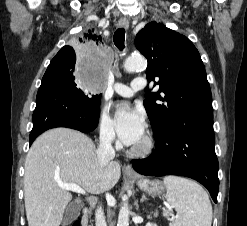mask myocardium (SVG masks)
I'll return each instance as SVG.
<instances>
[{
  "label": "myocardium",
  "instance_id": "obj_1",
  "mask_svg": "<svg viewBox=\"0 0 247 226\" xmlns=\"http://www.w3.org/2000/svg\"><path fill=\"white\" fill-rule=\"evenodd\" d=\"M156 141L151 132H147L144 138V142L139 147H131L129 154L133 157L144 158L151 155L155 149Z\"/></svg>",
  "mask_w": 247,
  "mask_h": 226
}]
</instances>
